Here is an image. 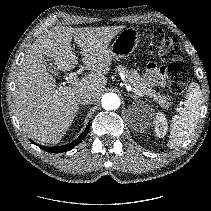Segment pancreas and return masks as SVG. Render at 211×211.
<instances>
[{
  "label": "pancreas",
  "mask_w": 211,
  "mask_h": 211,
  "mask_svg": "<svg viewBox=\"0 0 211 211\" xmlns=\"http://www.w3.org/2000/svg\"><path fill=\"white\" fill-rule=\"evenodd\" d=\"M117 71L125 75L126 80L136 89H138L143 95H146L158 102L163 108H168L172 102L169 96L161 95L156 92L148 82H146L135 69H128L125 66H117Z\"/></svg>",
  "instance_id": "cf45deb5"
}]
</instances>
